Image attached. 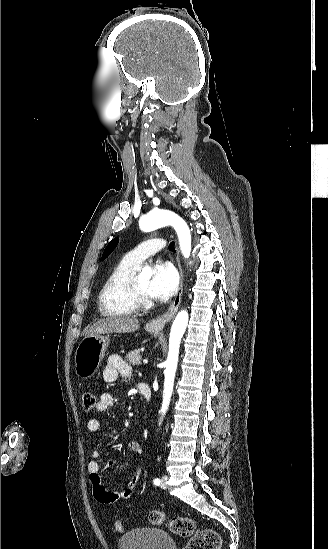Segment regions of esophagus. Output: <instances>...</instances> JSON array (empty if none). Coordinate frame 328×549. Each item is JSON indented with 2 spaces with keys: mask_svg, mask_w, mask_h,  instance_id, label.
<instances>
[{
  "mask_svg": "<svg viewBox=\"0 0 328 549\" xmlns=\"http://www.w3.org/2000/svg\"><path fill=\"white\" fill-rule=\"evenodd\" d=\"M177 263H178V269H179V274H180V282H179V288H178L177 294H176L173 302L170 304V307L168 308V310L164 314L155 317L154 319H152L149 322V325L154 330H163V328L167 324V322L172 320L173 317L176 315V313L178 311V308H179V305H180V302H181V298H182V294H183V271H182V268H181V263H180V259H179L178 250H177Z\"/></svg>",
  "mask_w": 328,
  "mask_h": 549,
  "instance_id": "esophagus-1",
  "label": "esophagus"
}]
</instances>
